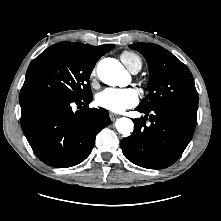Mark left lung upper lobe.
Instances as JSON below:
<instances>
[{
  "label": "left lung upper lobe",
  "instance_id": "1",
  "mask_svg": "<svg viewBox=\"0 0 221 221\" xmlns=\"http://www.w3.org/2000/svg\"><path fill=\"white\" fill-rule=\"evenodd\" d=\"M140 52L149 67V94L139 108L178 104L197 108L198 93L188 67L163 47L151 43H136L129 46Z\"/></svg>",
  "mask_w": 221,
  "mask_h": 221
}]
</instances>
